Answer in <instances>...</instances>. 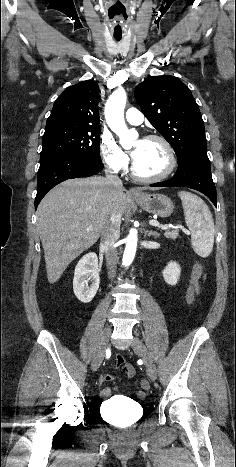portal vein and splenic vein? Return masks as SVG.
I'll use <instances>...</instances> for the list:
<instances>
[{
    "label": "portal vein and splenic vein",
    "instance_id": "obj_1",
    "mask_svg": "<svg viewBox=\"0 0 236 467\" xmlns=\"http://www.w3.org/2000/svg\"><path fill=\"white\" fill-rule=\"evenodd\" d=\"M149 224L152 225V226H155V227H159V228H161L163 230H168L169 229V227L167 225H162L156 220H150ZM186 232L188 233V231H186Z\"/></svg>",
    "mask_w": 236,
    "mask_h": 467
}]
</instances>
